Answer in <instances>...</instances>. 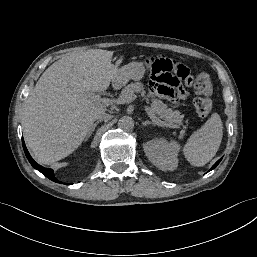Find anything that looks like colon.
<instances>
[{"label": "colon", "instance_id": "5ec220e1", "mask_svg": "<svg viewBox=\"0 0 257 257\" xmlns=\"http://www.w3.org/2000/svg\"><path fill=\"white\" fill-rule=\"evenodd\" d=\"M193 87L197 94V97L194 100L195 111L200 117H207L212 109L210 95L213 91V85L209 74L206 72L197 73L193 81Z\"/></svg>", "mask_w": 257, "mask_h": 257}]
</instances>
